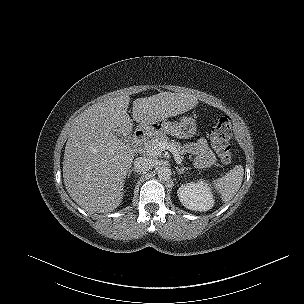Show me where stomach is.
I'll use <instances>...</instances> for the list:
<instances>
[{"label":"stomach","mask_w":304,"mask_h":304,"mask_svg":"<svg viewBox=\"0 0 304 304\" xmlns=\"http://www.w3.org/2000/svg\"><path fill=\"white\" fill-rule=\"evenodd\" d=\"M145 131L154 130L171 134L180 139L191 138L196 134L195 121L190 117H182L179 122L169 123L166 120H159L152 125H142Z\"/></svg>","instance_id":"obj_1"}]
</instances>
